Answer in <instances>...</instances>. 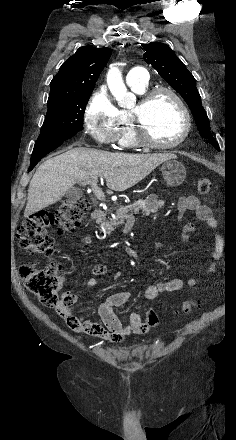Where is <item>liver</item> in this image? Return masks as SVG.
Listing matches in <instances>:
<instances>
[{
	"label": "liver",
	"mask_w": 236,
	"mask_h": 440,
	"mask_svg": "<svg viewBox=\"0 0 236 440\" xmlns=\"http://www.w3.org/2000/svg\"><path fill=\"white\" fill-rule=\"evenodd\" d=\"M171 153L126 154L72 148L39 166L28 188L24 217L59 201L77 182L106 179L108 193L125 191L147 177Z\"/></svg>",
	"instance_id": "1"
}]
</instances>
